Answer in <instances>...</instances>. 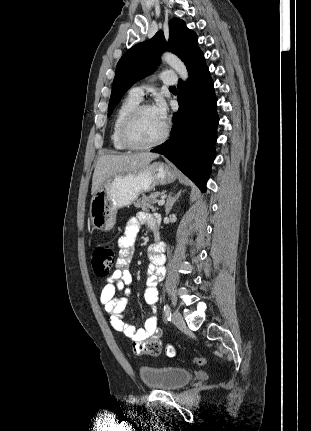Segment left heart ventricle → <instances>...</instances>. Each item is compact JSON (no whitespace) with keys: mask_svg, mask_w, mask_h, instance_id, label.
<instances>
[{"mask_svg":"<svg viewBox=\"0 0 311 431\" xmlns=\"http://www.w3.org/2000/svg\"><path fill=\"white\" fill-rule=\"evenodd\" d=\"M163 124L152 108L144 111L135 126V137L141 142H150L157 139L164 131Z\"/></svg>","mask_w":311,"mask_h":431,"instance_id":"1","label":"left heart ventricle"}]
</instances>
